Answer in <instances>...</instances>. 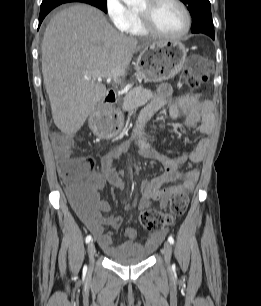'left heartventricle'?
Here are the masks:
<instances>
[{"label":"left heart ventricle","instance_id":"b2bd125f","mask_svg":"<svg viewBox=\"0 0 261 306\" xmlns=\"http://www.w3.org/2000/svg\"><path fill=\"white\" fill-rule=\"evenodd\" d=\"M144 1L138 6L142 8ZM152 18L156 27L167 34H177L185 24V18L180 7L171 0H161L155 5Z\"/></svg>","mask_w":261,"mask_h":306}]
</instances>
